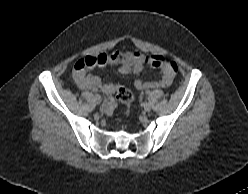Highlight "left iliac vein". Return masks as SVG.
Instances as JSON below:
<instances>
[{
	"label": "left iliac vein",
	"instance_id": "1",
	"mask_svg": "<svg viewBox=\"0 0 248 194\" xmlns=\"http://www.w3.org/2000/svg\"><path fill=\"white\" fill-rule=\"evenodd\" d=\"M151 108H152V105H151L150 102H145L143 104V109H144L145 112H149L151 110Z\"/></svg>",
	"mask_w": 248,
	"mask_h": 194
}]
</instances>
